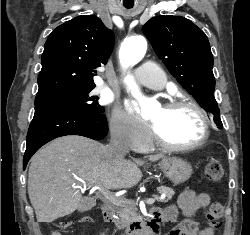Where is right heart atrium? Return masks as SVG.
Instances as JSON below:
<instances>
[{
	"label": "right heart atrium",
	"instance_id": "obj_1",
	"mask_svg": "<svg viewBox=\"0 0 250 235\" xmlns=\"http://www.w3.org/2000/svg\"><path fill=\"white\" fill-rule=\"evenodd\" d=\"M112 138L130 150L144 149L150 142L148 131L135 123L119 109H114L109 119Z\"/></svg>",
	"mask_w": 250,
	"mask_h": 235
}]
</instances>
